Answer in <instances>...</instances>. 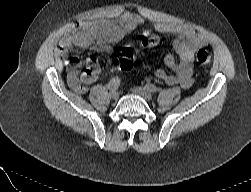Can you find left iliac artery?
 Returning <instances> with one entry per match:
<instances>
[{"label":"left iliac artery","instance_id":"1","mask_svg":"<svg viewBox=\"0 0 251 192\" xmlns=\"http://www.w3.org/2000/svg\"><path fill=\"white\" fill-rule=\"evenodd\" d=\"M145 88H146L148 91L152 92V93H156V92L159 91V89H158L154 84H150V83L146 84V85H145Z\"/></svg>","mask_w":251,"mask_h":192}]
</instances>
